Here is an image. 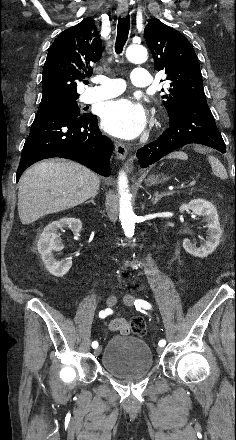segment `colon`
<instances>
[{"label": "colon", "instance_id": "5ec220e1", "mask_svg": "<svg viewBox=\"0 0 236 440\" xmlns=\"http://www.w3.org/2000/svg\"><path fill=\"white\" fill-rule=\"evenodd\" d=\"M128 331L129 333L135 334V335H144L146 332V325L142 318L136 317L130 322V328Z\"/></svg>", "mask_w": 236, "mask_h": 440}]
</instances>
